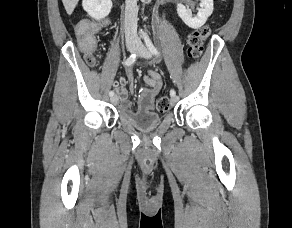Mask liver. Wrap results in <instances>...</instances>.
Wrapping results in <instances>:
<instances>
[{"label":"liver","mask_w":292,"mask_h":228,"mask_svg":"<svg viewBox=\"0 0 292 228\" xmlns=\"http://www.w3.org/2000/svg\"><path fill=\"white\" fill-rule=\"evenodd\" d=\"M68 15H71L78 4L79 0H62Z\"/></svg>","instance_id":"6515ba94"}]
</instances>
